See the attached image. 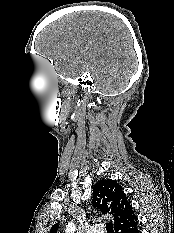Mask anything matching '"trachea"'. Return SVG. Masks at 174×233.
Returning <instances> with one entry per match:
<instances>
[{
    "label": "trachea",
    "instance_id": "obj_1",
    "mask_svg": "<svg viewBox=\"0 0 174 233\" xmlns=\"http://www.w3.org/2000/svg\"><path fill=\"white\" fill-rule=\"evenodd\" d=\"M106 230L108 233H114L112 222L106 224Z\"/></svg>",
    "mask_w": 174,
    "mask_h": 233
}]
</instances>
